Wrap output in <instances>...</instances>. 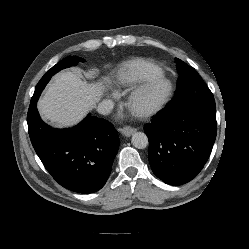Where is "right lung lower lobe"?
Listing matches in <instances>:
<instances>
[{
	"label": "right lung lower lobe",
	"mask_w": 249,
	"mask_h": 249,
	"mask_svg": "<svg viewBox=\"0 0 249 249\" xmlns=\"http://www.w3.org/2000/svg\"><path fill=\"white\" fill-rule=\"evenodd\" d=\"M34 92L27 115L30 140L44 167L63 187L93 193L106 183L119 147L118 132L104 119L90 114L71 129L45 124Z\"/></svg>",
	"instance_id": "98d812e1"
}]
</instances>
